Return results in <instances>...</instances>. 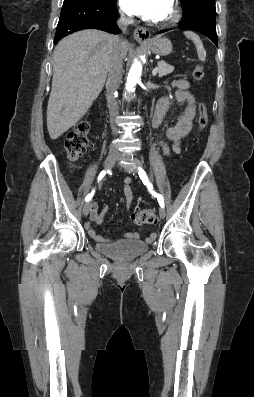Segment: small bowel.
I'll return each mask as SVG.
<instances>
[{"instance_id": "obj_1", "label": "small bowel", "mask_w": 254, "mask_h": 397, "mask_svg": "<svg viewBox=\"0 0 254 397\" xmlns=\"http://www.w3.org/2000/svg\"><path fill=\"white\" fill-rule=\"evenodd\" d=\"M173 85L177 89L174 97L171 98L169 96H166L158 101L152 121L153 127L158 128L162 123L163 118L173 101L186 103V109L184 113L180 116L177 123L174 126L168 128L166 132L167 137L173 141L172 149H169L165 144L160 143L164 154L168 156H170L172 153L180 152L181 140L190 132L196 113L195 98L189 92V83L186 80H176L173 82ZM131 182L132 179L130 177H126L124 179V193L126 197L127 211H129L130 209L133 198ZM106 210L107 209L105 208L103 212L99 214L98 205L96 203H93L90 209V221L94 222L97 225L101 224L104 220ZM91 222L85 223V229L88 232L89 236L96 242H107L108 239L102 237L93 229ZM155 236V234H151L148 240L152 241ZM125 237L132 240L138 239L139 234L136 232H128L125 234Z\"/></svg>"}]
</instances>
